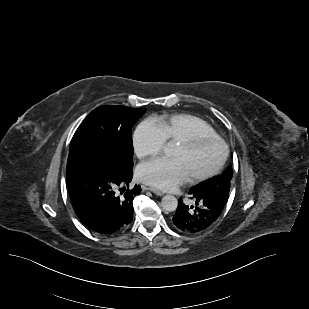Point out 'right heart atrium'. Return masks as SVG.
<instances>
[{"instance_id":"d8ad5b80","label":"right heart atrium","mask_w":309,"mask_h":309,"mask_svg":"<svg viewBox=\"0 0 309 309\" xmlns=\"http://www.w3.org/2000/svg\"><path fill=\"white\" fill-rule=\"evenodd\" d=\"M165 142L160 128L151 119L141 121L132 134L134 152L141 159L159 154Z\"/></svg>"}]
</instances>
